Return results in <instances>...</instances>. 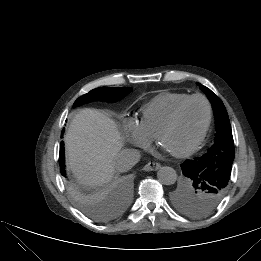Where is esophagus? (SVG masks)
Wrapping results in <instances>:
<instances>
[{"label": "esophagus", "mask_w": 261, "mask_h": 261, "mask_svg": "<svg viewBox=\"0 0 261 261\" xmlns=\"http://www.w3.org/2000/svg\"><path fill=\"white\" fill-rule=\"evenodd\" d=\"M161 167V164L158 162H149L148 164H146L143 169L145 171H156Z\"/></svg>", "instance_id": "34e87169"}]
</instances>
